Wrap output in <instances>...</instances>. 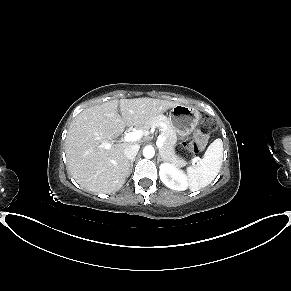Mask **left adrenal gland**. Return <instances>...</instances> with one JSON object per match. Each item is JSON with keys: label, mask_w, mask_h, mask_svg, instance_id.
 Listing matches in <instances>:
<instances>
[{"label": "left adrenal gland", "mask_w": 291, "mask_h": 291, "mask_svg": "<svg viewBox=\"0 0 291 291\" xmlns=\"http://www.w3.org/2000/svg\"><path fill=\"white\" fill-rule=\"evenodd\" d=\"M157 160H158V162L161 161V160L164 161L163 158L160 157V155L158 156Z\"/></svg>", "instance_id": "1"}]
</instances>
